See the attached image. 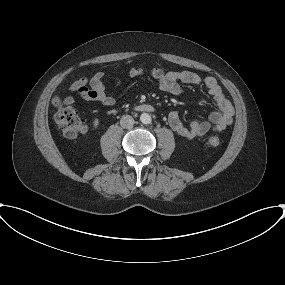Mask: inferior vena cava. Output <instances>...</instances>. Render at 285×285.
I'll return each instance as SVG.
<instances>
[{"label":"inferior vena cava","instance_id":"1","mask_svg":"<svg viewBox=\"0 0 285 285\" xmlns=\"http://www.w3.org/2000/svg\"><path fill=\"white\" fill-rule=\"evenodd\" d=\"M134 124V119L130 115H123L120 119V125L123 128H131Z\"/></svg>","mask_w":285,"mask_h":285}]
</instances>
